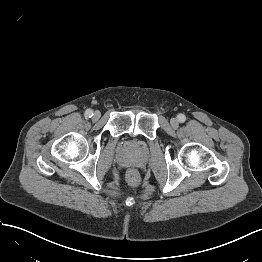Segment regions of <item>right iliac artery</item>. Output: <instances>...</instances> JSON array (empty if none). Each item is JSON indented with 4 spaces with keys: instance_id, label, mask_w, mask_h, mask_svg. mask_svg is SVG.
Instances as JSON below:
<instances>
[{
    "instance_id": "1",
    "label": "right iliac artery",
    "mask_w": 262,
    "mask_h": 262,
    "mask_svg": "<svg viewBox=\"0 0 262 262\" xmlns=\"http://www.w3.org/2000/svg\"><path fill=\"white\" fill-rule=\"evenodd\" d=\"M85 116L91 118L93 116V111L91 109L86 110Z\"/></svg>"
}]
</instances>
